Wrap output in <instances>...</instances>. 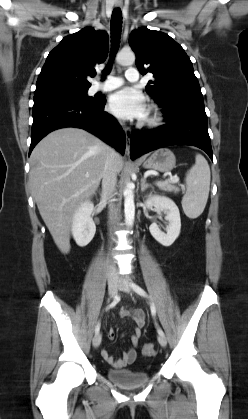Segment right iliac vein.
Masks as SVG:
<instances>
[{"mask_svg": "<svg viewBox=\"0 0 248 419\" xmlns=\"http://www.w3.org/2000/svg\"><path fill=\"white\" fill-rule=\"evenodd\" d=\"M117 291H118V283H117V280L114 279V278H109L108 279V293H109V296L111 298H114L116 296V294H117ZM101 339H102V337H101V334L100 333L95 334V336L93 338V341H92L93 342V346L95 348H97L100 345Z\"/></svg>", "mask_w": 248, "mask_h": 419, "instance_id": "obj_1", "label": "right iliac vein"}]
</instances>
